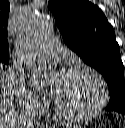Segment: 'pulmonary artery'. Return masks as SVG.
<instances>
[{"label":"pulmonary artery","mask_w":125,"mask_h":128,"mask_svg":"<svg viewBox=\"0 0 125 128\" xmlns=\"http://www.w3.org/2000/svg\"><path fill=\"white\" fill-rule=\"evenodd\" d=\"M64 54V48L57 41H48L37 50V57L45 61H55Z\"/></svg>","instance_id":"obj_1"}]
</instances>
